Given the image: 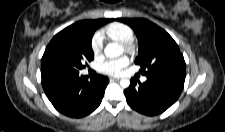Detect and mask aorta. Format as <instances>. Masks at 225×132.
Masks as SVG:
<instances>
[{"instance_id":"1","label":"aorta","mask_w":225,"mask_h":132,"mask_svg":"<svg viewBox=\"0 0 225 132\" xmlns=\"http://www.w3.org/2000/svg\"><path fill=\"white\" fill-rule=\"evenodd\" d=\"M104 53L106 57L108 58H117L122 55L123 53V48L117 43H109L105 47ZM130 85V80L129 79H121L120 80V86L122 88H128Z\"/></svg>"}]
</instances>
